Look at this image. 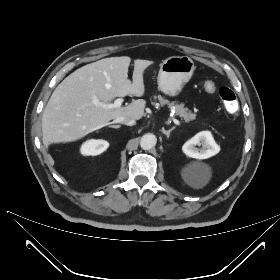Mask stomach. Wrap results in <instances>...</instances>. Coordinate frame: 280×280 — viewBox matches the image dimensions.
<instances>
[{"label": "stomach", "instance_id": "stomach-1", "mask_svg": "<svg viewBox=\"0 0 280 280\" xmlns=\"http://www.w3.org/2000/svg\"><path fill=\"white\" fill-rule=\"evenodd\" d=\"M195 65L188 56H172L160 64L157 77L158 89L170 97H176L191 79Z\"/></svg>", "mask_w": 280, "mask_h": 280}]
</instances>
